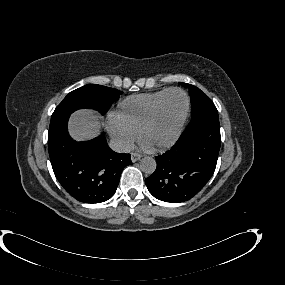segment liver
Returning <instances> with one entry per match:
<instances>
[{
	"label": "liver",
	"instance_id": "1",
	"mask_svg": "<svg viewBox=\"0 0 285 285\" xmlns=\"http://www.w3.org/2000/svg\"><path fill=\"white\" fill-rule=\"evenodd\" d=\"M98 114L92 110H79L72 114L69 121V132L77 140H88L98 135L100 123Z\"/></svg>",
	"mask_w": 285,
	"mask_h": 285
}]
</instances>
